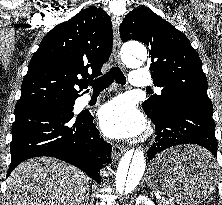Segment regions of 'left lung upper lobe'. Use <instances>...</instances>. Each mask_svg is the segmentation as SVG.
<instances>
[{"label":"left lung upper lobe","instance_id":"obj_1","mask_svg":"<svg viewBox=\"0 0 222 205\" xmlns=\"http://www.w3.org/2000/svg\"><path fill=\"white\" fill-rule=\"evenodd\" d=\"M121 40L145 43L151 55L150 69L154 84L162 88L143 103L146 114L159 120L177 99L211 103L207 78L198 53L188 38L169 22L149 9L139 7L129 12L120 25Z\"/></svg>","mask_w":222,"mask_h":205}]
</instances>
